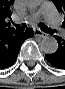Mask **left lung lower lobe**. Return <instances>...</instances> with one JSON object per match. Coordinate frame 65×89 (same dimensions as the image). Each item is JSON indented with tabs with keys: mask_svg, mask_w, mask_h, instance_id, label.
<instances>
[{
	"mask_svg": "<svg viewBox=\"0 0 65 89\" xmlns=\"http://www.w3.org/2000/svg\"><path fill=\"white\" fill-rule=\"evenodd\" d=\"M58 42V49L53 54L45 55L48 62L56 68L65 69V38L55 36Z\"/></svg>",
	"mask_w": 65,
	"mask_h": 89,
	"instance_id": "obj_1",
	"label": "left lung lower lobe"
}]
</instances>
